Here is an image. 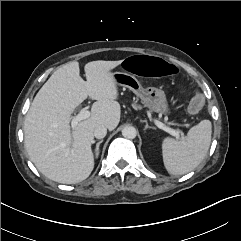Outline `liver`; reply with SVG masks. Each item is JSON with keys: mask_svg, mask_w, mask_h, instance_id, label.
Wrapping results in <instances>:
<instances>
[{"mask_svg": "<svg viewBox=\"0 0 241 241\" xmlns=\"http://www.w3.org/2000/svg\"><path fill=\"white\" fill-rule=\"evenodd\" d=\"M121 63L88 62L86 81L80 76L79 62L66 63L35 96L24 121V143L31 161L47 178L73 184L91 174L95 128L103 125L112 131L120 121L118 88L111 70ZM87 97L96 100L90 117L71 131V114Z\"/></svg>", "mask_w": 241, "mask_h": 241, "instance_id": "obj_1", "label": "liver"}]
</instances>
